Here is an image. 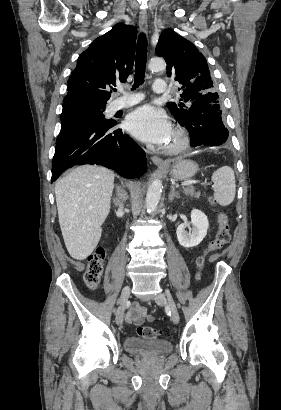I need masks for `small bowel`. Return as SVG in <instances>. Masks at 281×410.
<instances>
[{
    "label": "small bowel",
    "mask_w": 281,
    "mask_h": 410,
    "mask_svg": "<svg viewBox=\"0 0 281 410\" xmlns=\"http://www.w3.org/2000/svg\"><path fill=\"white\" fill-rule=\"evenodd\" d=\"M126 320L130 324L140 325L145 320L152 321L153 317L148 314L146 308L138 303H135L131 306L129 312L127 313Z\"/></svg>",
    "instance_id": "1"
}]
</instances>
